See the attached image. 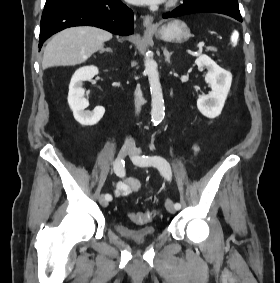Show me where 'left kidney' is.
I'll list each match as a JSON object with an SVG mask.
<instances>
[{
  "label": "left kidney",
  "instance_id": "obj_1",
  "mask_svg": "<svg viewBox=\"0 0 280 283\" xmlns=\"http://www.w3.org/2000/svg\"><path fill=\"white\" fill-rule=\"evenodd\" d=\"M195 64L205 67L208 72L205 81L211 85L209 95L200 96L197 100L198 110L208 118H216L221 114L232 83V74L221 68L207 55H200Z\"/></svg>",
  "mask_w": 280,
  "mask_h": 283
}]
</instances>
